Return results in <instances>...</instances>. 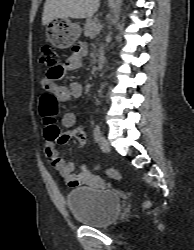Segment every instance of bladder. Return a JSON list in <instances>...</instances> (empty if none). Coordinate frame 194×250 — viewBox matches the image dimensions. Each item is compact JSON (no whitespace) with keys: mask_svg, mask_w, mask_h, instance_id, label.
<instances>
[{"mask_svg":"<svg viewBox=\"0 0 194 250\" xmlns=\"http://www.w3.org/2000/svg\"><path fill=\"white\" fill-rule=\"evenodd\" d=\"M66 203L77 223L91 227L110 225L122 208V200L117 192L90 186L69 191Z\"/></svg>","mask_w":194,"mask_h":250,"instance_id":"bladder-1","label":"bladder"}]
</instances>
